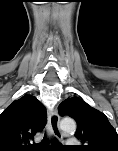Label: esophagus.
<instances>
[{"mask_svg": "<svg viewBox=\"0 0 118 151\" xmlns=\"http://www.w3.org/2000/svg\"><path fill=\"white\" fill-rule=\"evenodd\" d=\"M59 115L57 110H51L48 114V126L52 135L58 139H62V133L59 128Z\"/></svg>", "mask_w": 118, "mask_h": 151, "instance_id": "1", "label": "esophagus"}]
</instances>
